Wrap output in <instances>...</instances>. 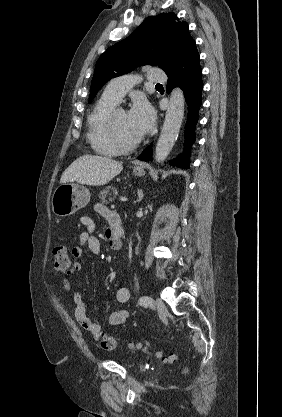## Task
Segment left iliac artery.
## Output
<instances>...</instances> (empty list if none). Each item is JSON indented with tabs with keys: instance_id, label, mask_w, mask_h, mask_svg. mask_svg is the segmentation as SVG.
<instances>
[{
	"instance_id": "obj_1",
	"label": "left iliac artery",
	"mask_w": 282,
	"mask_h": 417,
	"mask_svg": "<svg viewBox=\"0 0 282 417\" xmlns=\"http://www.w3.org/2000/svg\"><path fill=\"white\" fill-rule=\"evenodd\" d=\"M139 304L140 305H143L145 307H151V308L154 307L153 299L151 297H149V296H143V297H141L139 299Z\"/></svg>"
}]
</instances>
